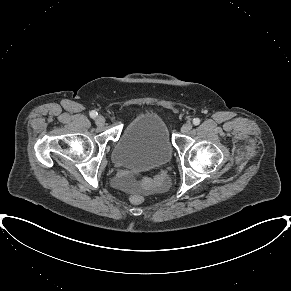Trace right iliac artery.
<instances>
[{
  "label": "right iliac artery",
  "instance_id": "1",
  "mask_svg": "<svg viewBox=\"0 0 291 291\" xmlns=\"http://www.w3.org/2000/svg\"><path fill=\"white\" fill-rule=\"evenodd\" d=\"M97 115H98V113L96 111H94V110L90 112V117L91 118H95Z\"/></svg>",
  "mask_w": 291,
  "mask_h": 291
}]
</instances>
